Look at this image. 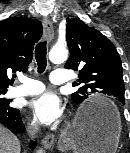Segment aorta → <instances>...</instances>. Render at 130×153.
Segmentation results:
<instances>
[{
    "label": "aorta",
    "instance_id": "762f6f07",
    "mask_svg": "<svg viewBox=\"0 0 130 153\" xmlns=\"http://www.w3.org/2000/svg\"><path fill=\"white\" fill-rule=\"evenodd\" d=\"M68 58V51L65 47L54 46L49 53V59L53 63H63Z\"/></svg>",
    "mask_w": 130,
    "mask_h": 153
}]
</instances>
